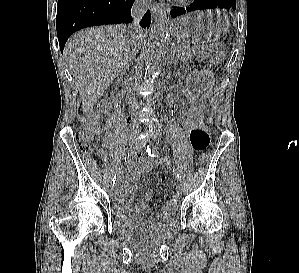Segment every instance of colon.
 <instances>
[{
	"label": "colon",
	"instance_id": "obj_1",
	"mask_svg": "<svg viewBox=\"0 0 299 273\" xmlns=\"http://www.w3.org/2000/svg\"><path fill=\"white\" fill-rule=\"evenodd\" d=\"M193 52L197 58L204 61L208 67H213L219 64L225 55L224 47L221 44H199L193 46ZM206 112V105L204 102H199L191 108V111L185 121V126H200L203 124L204 115ZM98 133V126L94 119L90 118L81 124L77 129V139L80 148L92 155L98 153V147L96 145V136ZM208 160L206 154H201L197 158L199 166L204 165ZM181 198L180 192L176 190L172 196L169 204L173 207H177Z\"/></svg>",
	"mask_w": 299,
	"mask_h": 273
}]
</instances>
